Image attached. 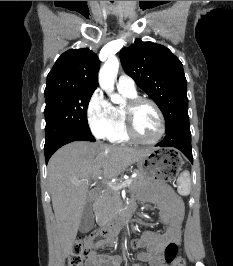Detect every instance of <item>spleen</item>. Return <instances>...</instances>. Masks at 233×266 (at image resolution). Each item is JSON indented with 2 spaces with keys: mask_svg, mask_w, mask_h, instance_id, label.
<instances>
[{
  "mask_svg": "<svg viewBox=\"0 0 233 266\" xmlns=\"http://www.w3.org/2000/svg\"><path fill=\"white\" fill-rule=\"evenodd\" d=\"M178 193L187 196L191 189V179L188 171H184L178 178Z\"/></svg>",
  "mask_w": 233,
  "mask_h": 266,
  "instance_id": "spleen-1",
  "label": "spleen"
}]
</instances>
